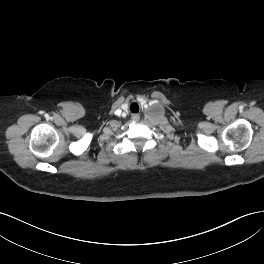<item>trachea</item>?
<instances>
[{"mask_svg": "<svg viewBox=\"0 0 264 264\" xmlns=\"http://www.w3.org/2000/svg\"><path fill=\"white\" fill-rule=\"evenodd\" d=\"M130 110H131V112H138V111H139V106H138V104H137V103H132V104L130 105Z\"/></svg>", "mask_w": 264, "mask_h": 264, "instance_id": "3493384b", "label": "trachea"}]
</instances>
